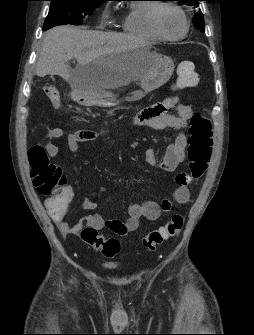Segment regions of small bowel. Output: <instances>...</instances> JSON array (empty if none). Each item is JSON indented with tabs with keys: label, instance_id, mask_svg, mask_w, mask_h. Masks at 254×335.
<instances>
[{
	"label": "small bowel",
	"instance_id": "small-bowel-1",
	"mask_svg": "<svg viewBox=\"0 0 254 335\" xmlns=\"http://www.w3.org/2000/svg\"><path fill=\"white\" fill-rule=\"evenodd\" d=\"M175 109V114L169 110ZM192 116V109L189 105L181 103L177 96H171L145 109L136 119L140 125L150 126L154 129L172 128L179 133L173 143H171L160 162V168L166 172H174L177 167L183 162L185 157L186 137L184 130L187 121ZM64 131L62 128L54 127L49 131V137L57 140L62 138ZM96 138V133L91 130H78L71 132L67 137L68 149L71 152H76L83 142L92 141ZM46 151L49 157H55L58 154L56 144L50 142L46 145ZM145 161L148 165L156 164V154L152 148L145 151ZM34 180V176L31 174ZM177 186L173 192V200L177 204H186L190 199L189 184L191 178L188 174L181 172L176 175ZM73 191L70 187L64 189L62 197L67 199V202L62 211L49 210L50 217L64 235L78 234L84 227H92L96 230L106 229L110 232L125 236L135 232L139 227L141 218H146L150 221L157 220L163 212H168L171 209L172 202L163 200L161 203L154 201H146L144 203H132L128 208V218L125 221L118 219H105L101 214L94 213L85 216L78 223L71 225L64 220L67 204L73 199ZM49 199L46 201V205ZM48 207V206H47ZM98 205L89 198L83 201L84 210H95Z\"/></svg>",
	"mask_w": 254,
	"mask_h": 335
}]
</instances>
